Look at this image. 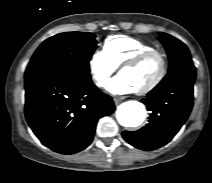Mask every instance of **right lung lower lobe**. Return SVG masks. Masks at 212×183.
Returning <instances> with one entry per match:
<instances>
[{"label": "right lung lower lobe", "mask_w": 212, "mask_h": 183, "mask_svg": "<svg viewBox=\"0 0 212 183\" xmlns=\"http://www.w3.org/2000/svg\"><path fill=\"white\" fill-rule=\"evenodd\" d=\"M25 90L29 126L45 146L61 154L89 146L98 119L115 110L112 98L92 83L89 73L26 71Z\"/></svg>", "instance_id": "1"}]
</instances>
